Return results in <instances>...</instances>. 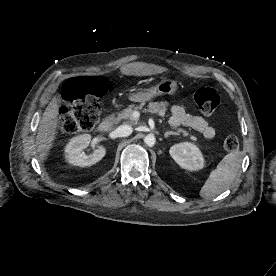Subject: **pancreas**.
Segmentation results:
<instances>
[{
    "label": "pancreas",
    "instance_id": "obj_1",
    "mask_svg": "<svg viewBox=\"0 0 276 276\" xmlns=\"http://www.w3.org/2000/svg\"><path fill=\"white\" fill-rule=\"evenodd\" d=\"M143 106H144V104H140L139 106L130 105L128 108L122 110L120 113L117 114V117L114 119V122L118 123L122 119H125V120H127V122L129 124L136 125L138 122V119L133 117V112L142 110V109L145 112L155 113L160 116H164L165 112L167 111L168 103L167 102H150L148 104L147 108H143ZM180 133H182L184 136L189 135V133L186 130H184L182 128H178L177 134L179 135ZM190 138L192 140L196 139V137L193 135H190Z\"/></svg>",
    "mask_w": 276,
    "mask_h": 276
}]
</instances>
